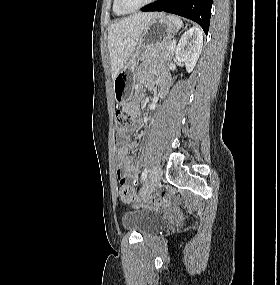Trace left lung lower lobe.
<instances>
[{"instance_id": "1", "label": "left lung lower lobe", "mask_w": 280, "mask_h": 285, "mask_svg": "<svg viewBox=\"0 0 280 285\" xmlns=\"http://www.w3.org/2000/svg\"><path fill=\"white\" fill-rule=\"evenodd\" d=\"M213 0H158L142 8V11H164L197 22L208 34Z\"/></svg>"}]
</instances>
